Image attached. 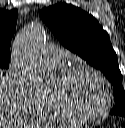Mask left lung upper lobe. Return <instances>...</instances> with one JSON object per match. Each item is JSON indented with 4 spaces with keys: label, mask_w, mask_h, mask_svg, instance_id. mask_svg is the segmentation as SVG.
<instances>
[{
    "label": "left lung upper lobe",
    "mask_w": 125,
    "mask_h": 128,
    "mask_svg": "<svg viewBox=\"0 0 125 128\" xmlns=\"http://www.w3.org/2000/svg\"><path fill=\"white\" fill-rule=\"evenodd\" d=\"M40 18L67 49L79 55L91 66L101 70L114 88L117 106L111 114L125 117V91L117 55L108 33L89 13L66 3L43 8Z\"/></svg>",
    "instance_id": "1"
}]
</instances>
